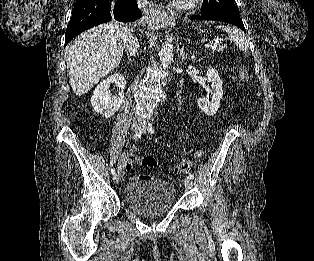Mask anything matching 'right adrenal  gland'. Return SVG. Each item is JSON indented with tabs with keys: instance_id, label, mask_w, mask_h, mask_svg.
<instances>
[{
	"instance_id": "2a0ac1e0",
	"label": "right adrenal gland",
	"mask_w": 314,
	"mask_h": 261,
	"mask_svg": "<svg viewBox=\"0 0 314 261\" xmlns=\"http://www.w3.org/2000/svg\"><path fill=\"white\" fill-rule=\"evenodd\" d=\"M133 60H134V58L128 57V61H129V62H132Z\"/></svg>"
}]
</instances>
